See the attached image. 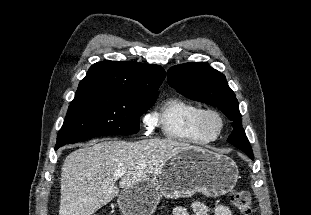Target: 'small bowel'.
<instances>
[{"label": "small bowel", "instance_id": "obj_1", "mask_svg": "<svg viewBox=\"0 0 311 215\" xmlns=\"http://www.w3.org/2000/svg\"><path fill=\"white\" fill-rule=\"evenodd\" d=\"M173 215H234L225 205H218L210 208L201 202H195L192 205V212L189 213L184 207H176Z\"/></svg>", "mask_w": 311, "mask_h": 215}]
</instances>
